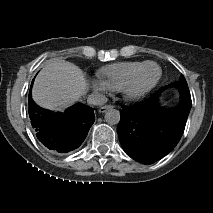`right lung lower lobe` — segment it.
I'll return each mask as SVG.
<instances>
[{
  "instance_id": "98d812e1",
  "label": "right lung lower lobe",
  "mask_w": 213,
  "mask_h": 213,
  "mask_svg": "<svg viewBox=\"0 0 213 213\" xmlns=\"http://www.w3.org/2000/svg\"><path fill=\"white\" fill-rule=\"evenodd\" d=\"M29 117L38 139L49 149L67 153L78 148L94 122V109L77 103L65 112L41 108L29 92Z\"/></svg>"
}]
</instances>
